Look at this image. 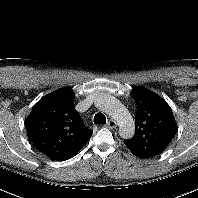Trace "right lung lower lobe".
Returning <instances> with one entry per match:
<instances>
[{
	"mask_svg": "<svg viewBox=\"0 0 198 198\" xmlns=\"http://www.w3.org/2000/svg\"><path fill=\"white\" fill-rule=\"evenodd\" d=\"M76 154H77V153L71 154V155H67V156H64V157H61V158H58V159H53V160H57V161L67 160V159L72 158V157L75 156Z\"/></svg>",
	"mask_w": 198,
	"mask_h": 198,
	"instance_id": "right-lung-lower-lobe-1",
	"label": "right lung lower lobe"
}]
</instances>
